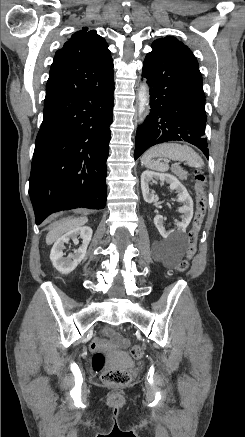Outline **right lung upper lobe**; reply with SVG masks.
<instances>
[{"label":"right lung upper lobe","mask_w":245,"mask_h":437,"mask_svg":"<svg viewBox=\"0 0 245 437\" xmlns=\"http://www.w3.org/2000/svg\"><path fill=\"white\" fill-rule=\"evenodd\" d=\"M112 79L113 60L107 42L95 30L83 27L55 53L44 108L90 93Z\"/></svg>","instance_id":"obj_1"}]
</instances>
